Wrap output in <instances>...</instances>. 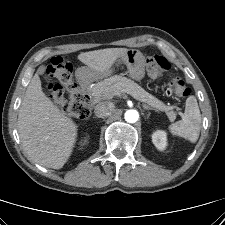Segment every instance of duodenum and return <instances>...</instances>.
I'll return each instance as SVG.
<instances>
[{
	"label": "duodenum",
	"mask_w": 225,
	"mask_h": 225,
	"mask_svg": "<svg viewBox=\"0 0 225 225\" xmlns=\"http://www.w3.org/2000/svg\"><path fill=\"white\" fill-rule=\"evenodd\" d=\"M79 86L82 89V93H83L85 99L88 101L89 105L91 106L93 104V100L90 95V84L86 83L85 81L80 80Z\"/></svg>",
	"instance_id": "1"
}]
</instances>
